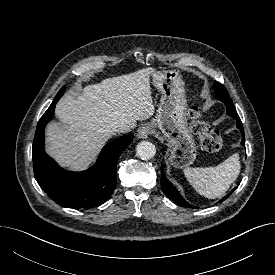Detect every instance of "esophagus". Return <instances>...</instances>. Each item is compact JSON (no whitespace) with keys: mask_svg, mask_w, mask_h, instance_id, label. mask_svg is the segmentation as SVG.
<instances>
[{"mask_svg":"<svg viewBox=\"0 0 275 275\" xmlns=\"http://www.w3.org/2000/svg\"><path fill=\"white\" fill-rule=\"evenodd\" d=\"M151 133V127L149 125H143L138 129V136L140 138H146Z\"/></svg>","mask_w":275,"mask_h":275,"instance_id":"1","label":"esophagus"}]
</instances>
